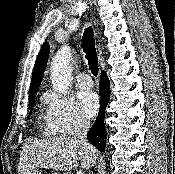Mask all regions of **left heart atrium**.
Segmentation results:
<instances>
[{"label": "left heart atrium", "instance_id": "39dd6f15", "mask_svg": "<svg viewBox=\"0 0 175 174\" xmlns=\"http://www.w3.org/2000/svg\"><path fill=\"white\" fill-rule=\"evenodd\" d=\"M77 100L82 113L86 117H92L96 114L99 107V99L95 92L91 90L80 91Z\"/></svg>", "mask_w": 175, "mask_h": 174}]
</instances>
